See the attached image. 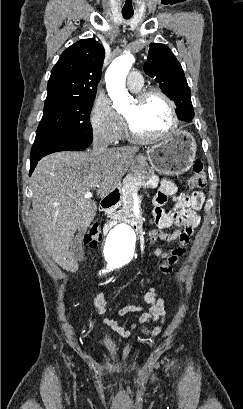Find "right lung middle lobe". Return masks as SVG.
<instances>
[{
	"label": "right lung middle lobe",
	"instance_id": "dd1d6c3e",
	"mask_svg": "<svg viewBox=\"0 0 243 409\" xmlns=\"http://www.w3.org/2000/svg\"><path fill=\"white\" fill-rule=\"evenodd\" d=\"M94 99L45 101L37 134L92 136L90 112Z\"/></svg>",
	"mask_w": 243,
	"mask_h": 409
}]
</instances>
